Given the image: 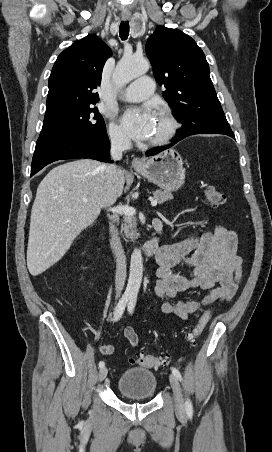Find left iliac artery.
<instances>
[{
    "label": "left iliac artery",
    "mask_w": 272,
    "mask_h": 452,
    "mask_svg": "<svg viewBox=\"0 0 272 452\" xmlns=\"http://www.w3.org/2000/svg\"><path fill=\"white\" fill-rule=\"evenodd\" d=\"M136 301H137L136 296H131L129 298V303H128V311H129V313H133L135 305H136ZM171 370H172V373L180 381H182V376H181V373L179 372V370L174 368V367H172ZM185 409H186V412H187L188 416H192L193 415V406H192V403H191V401L189 399H187L186 402H185Z\"/></svg>",
    "instance_id": "left-iliac-artery-1"
}]
</instances>
